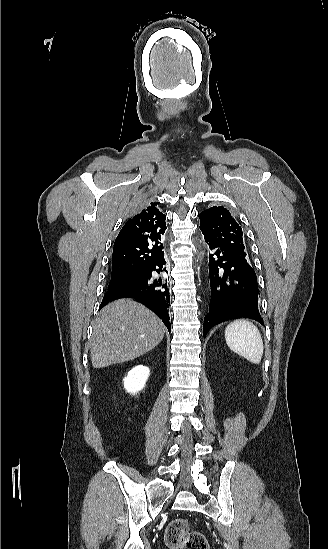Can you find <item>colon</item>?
Returning <instances> with one entry per match:
<instances>
[{
    "mask_svg": "<svg viewBox=\"0 0 328 549\" xmlns=\"http://www.w3.org/2000/svg\"><path fill=\"white\" fill-rule=\"evenodd\" d=\"M164 539L171 549H208L206 537L201 532L190 530V524L184 518L170 522Z\"/></svg>",
    "mask_w": 328,
    "mask_h": 549,
    "instance_id": "colon-1",
    "label": "colon"
}]
</instances>
